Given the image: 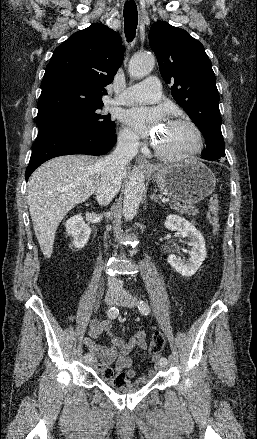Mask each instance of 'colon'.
<instances>
[{
    "label": "colon",
    "instance_id": "1",
    "mask_svg": "<svg viewBox=\"0 0 257 439\" xmlns=\"http://www.w3.org/2000/svg\"><path fill=\"white\" fill-rule=\"evenodd\" d=\"M218 217L219 197L217 195H212L208 201L207 221L211 227L213 234H217L218 232ZM164 346V335L159 331L155 332L149 344V353L151 355H156L164 348ZM99 372L101 377L104 380L108 381L115 389L133 390L135 387V384L131 383L123 372L115 373L111 367L104 368Z\"/></svg>",
    "mask_w": 257,
    "mask_h": 439
}]
</instances>
